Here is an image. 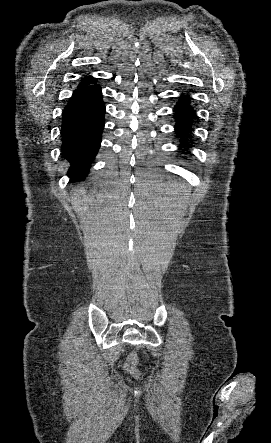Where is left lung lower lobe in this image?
<instances>
[{"instance_id": "left-lung-lower-lobe-1", "label": "left lung lower lobe", "mask_w": 271, "mask_h": 443, "mask_svg": "<svg viewBox=\"0 0 271 443\" xmlns=\"http://www.w3.org/2000/svg\"><path fill=\"white\" fill-rule=\"evenodd\" d=\"M190 99L182 96L174 107L175 117V132L177 137L180 138V149L189 148L191 145L188 143V139L191 137L192 121L195 116L194 109L189 104Z\"/></svg>"}]
</instances>
